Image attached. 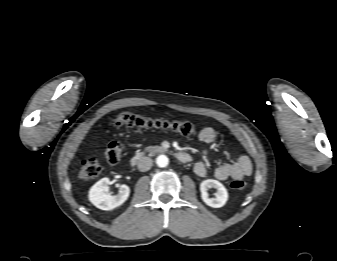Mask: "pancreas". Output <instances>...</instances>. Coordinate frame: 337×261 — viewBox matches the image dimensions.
Instances as JSON below:
<instances>
[{"label": "pancreas", "instance_id": "1", "mask_svg": "<svg viewBox=\"0 0 337 261\" xmlns=\"http://www.w3.org/2000/svg\"><path fill=\"white\" fill-rule=\"evenodd\" d=\"M145 151L146 152H149L150 155H153L155 153H158V152H165L166 149L161 147V146H149V147H146L145 148Z\"/></svg>", "mask_w": 337, "mask_h": 261}]
</instances>
